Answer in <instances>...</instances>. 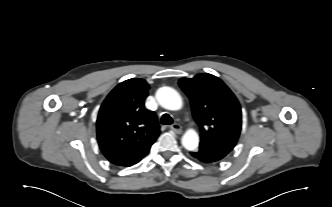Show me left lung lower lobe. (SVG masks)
<instances>
[{
  "label": "left lung lower lobe",
  "instance_id": "left-lung-lower-lobe-1",
  "mask_svg": "<svg viewBox=\"0 0 332 207\" xmlns=\"http://www.w3.org/2000/svg\"><path fill=\"white\" fill-rule=\"evenodd\" d=\"M190 154L204 163H213L223 159L227 154L205 147H199V149H195V151L190 152Z\"/></svg>",
  "mask_w": 332,
  "mask_h": 207
}]
</instances>
